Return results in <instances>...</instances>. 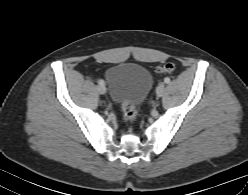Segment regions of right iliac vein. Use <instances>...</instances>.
Returning a JSON list of instances; mask_svg holds the SVG:
<instances>
[{"label":"right iliac vein","instance_id":"obj_1","mask_svg":"<svg viewBox=\"0 0 248 195\" xmlns=\"http://www.w3.org/2000/svg\"><path fill=\"white\" fill-rule=\"evenodd\" d=\"M97 91L100 93V94H105L106 93V88L104 85H98L97 86Z\"/></svg>","mask_w":248,"mask_h":195}]
</instances>
